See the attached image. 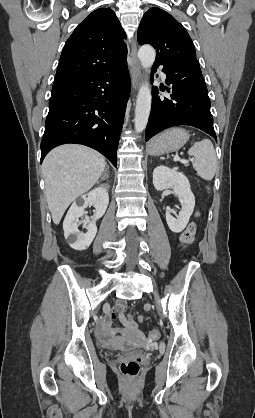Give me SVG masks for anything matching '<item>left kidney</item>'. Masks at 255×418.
Returning <instances> with one entry per match:
<instances>
[{"instance_id": "obj_1", "label": "left kidney", "mask_w": 255, "mask_h": 418, "mask_svg": "<svg viewBox=\"0 0 255 418\" xmlns=\"http://www.w3.org/2000/svg\"><path fill=\"white\" fill-rule=\"evenodd\" d=\"M153 184L156 190L162 191L172 188L179 198L181 210L177 218L166 212V221L172 232L179 233L187 226L195 206V197L191 191L187 177L175 169L166 166H158L153 171Z\"/></svg>"}]
</instances>
